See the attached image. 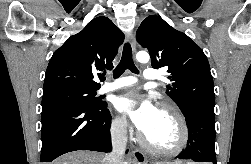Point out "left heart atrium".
I'll return each instance as SVG.
<instances>
[{"label": "left heart atrium", "mask_w": 251, "mask_h": 164, "mask_svg": "<svg viewBox=\"0 0 251 164\" xmlns=\"http://www.w3.org/2000/svg\"><path fill=\"white\" fill-rule=\"evenodd\" d=\"M115 107L127 116L143 134L151 129L159 111L149 98L140 95L137 91H130L117 97Z\"/></svg>", "instance_id": "1"}]
</instances>
